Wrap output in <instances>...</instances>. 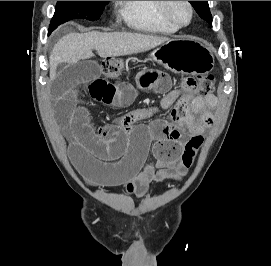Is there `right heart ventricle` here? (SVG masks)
I'll return each mask as SVG.
<instances>
[{"instance_id": "1", "label": "right heart ventricle", "mask_w": 271, "mask_h": 266, "mask_svg": "<svg viewBox=\"0 0 271 266\" xmlns=\"http://www.w3.org/2000/svg\"><path fill=\"white\" fill-rule=\"evenodd\" d=\"M164 1H118L119 13L133 29L171 34L178 31L163 12Z\"/></svg>"}]
</instances>
